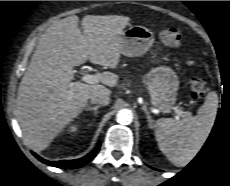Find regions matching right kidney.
Segmentation results:
<instances>
[{"instance_id": "obj_1", "label": "right kidney", "mask_w": 230, "mask_h": 186, "mask_svg": "<svg viewBox=\"0 0 230 186\" xmlns=\"http://www.w3.org/2000/svg\"><path fill=\"white\" fill-rule=\"evenodd\" d=\"M78 129L77 125H72L69 129L70 132H76Z\"/></svg>"}]
</instances>
